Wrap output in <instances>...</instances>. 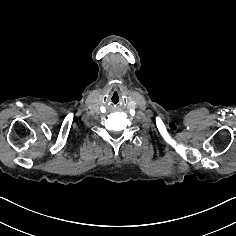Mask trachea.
Wrapping results in <instances>:
<instances>
[{"mask_svg":"<svg viewBox=\"0 0 236 236\" xmlns=\"http://www.w3.org/2000/svg\"><path fill=\"white\" fill-rule=\"evenodd\" d=\"M122 98V93L119 90H114L111 93L109 101L111 104L116 105L119 103L120 99Z\"/></svg>","mask_w":236,"mask_h":236,"instance_id":"3493384b","label":"trachea"}]
</instances>
